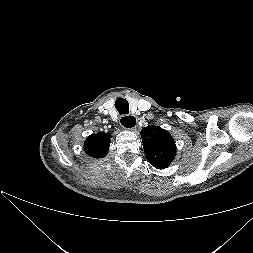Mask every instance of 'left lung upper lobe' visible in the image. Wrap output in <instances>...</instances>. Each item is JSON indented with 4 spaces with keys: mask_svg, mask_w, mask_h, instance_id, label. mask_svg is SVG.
<instances>
[{
    "mask_svg": "<svg viewBox=\"0 0 253 253\" xmlns=\"http://www.w3.org/2000/svg\"><path fill=\"white\" fill-rule=\"evenodd\" d=\"M141 137L147 160L157 169L166 168L176 155L175 141L170 133L158 126L142 129Z\"/></svg>",
    "mask_w": 253,
    "mask_h": 253,
    "instance_id": "1",
    "label": "left lung upper lobe"
}]
</instances>
